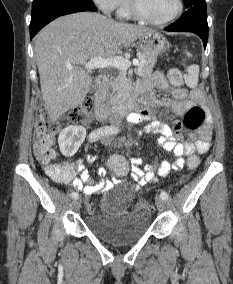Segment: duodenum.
Segmentation results:
<instances>
[{
	"mask_svg": "<svg viewBox=\"0 0 233 284\" xmlns=\"http://www.w3.org/2000/svg\"><path fill=\"white\" fill-rule=\"evenodd\" d=\"M109 79L105 74L98 75L96 78L95 117L101 122H107L117 128L121 118L135 110L142 94L140 88L136 89L122 104L112 106L107 102L106 89ZM118 130V128H117Z\"/></svg>",
	"mask_w": 233,
	"mask_h": 284,
	"instance_id": "1",
	"label": "duodenum"
}]
</instances>
